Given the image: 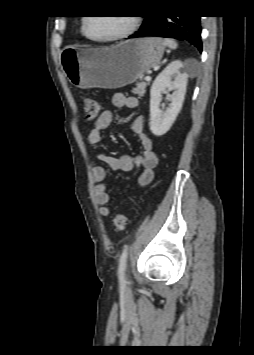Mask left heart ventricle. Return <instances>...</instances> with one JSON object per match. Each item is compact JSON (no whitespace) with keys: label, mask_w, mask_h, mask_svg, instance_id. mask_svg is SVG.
Returning <instances> with one entry per match:
<instances>
[{"label":"left heart ventricle","mask_w":254,"mask_h":355,"mask_svg":"<svg viewBox=\"0 0 254 355\" xmlns=\"http://www.w3.org/2000/svg\"><path fill=\"white\" fill-rule=\"evenodd\" d=\"M131 16L93 17L88 24L89 34L95 38H108L125 31Z\"/></svg>","instance_id":"left-heart-ventricle-1"}]
</instances>
